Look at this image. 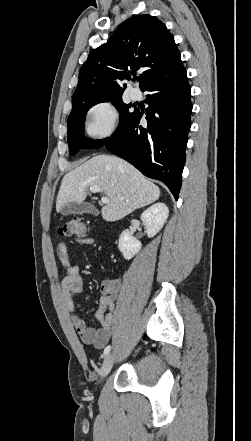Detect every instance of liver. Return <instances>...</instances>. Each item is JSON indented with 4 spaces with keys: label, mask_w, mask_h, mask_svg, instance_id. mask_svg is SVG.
I'll return each instance as SVG.
<instances>
[{
    "label": "liver",
    "mask_w": 251,
    "mask_h": 441,
    "mask_svg": "<svg viewBox=\"0 0 251 441\" xmlns=\"http://www.w3.org/2000/svg\"><path fill=\"white\" fill-rule=\"evenodd\" d=\"M97 185L109 203L102 208L106 221H117L136 209L158 200L160 189L148 181L134 166L110 155H97L67 173L56 200V211L70 202L83 203L88 188Z\"/></svg>",
    "instance_id": "liver-1"
}]
</instances>
